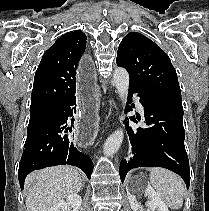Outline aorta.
<instances>
[{
    "label": "aorta",
    "mask_w": 209,
    "mask_h": 211,
    "mask_svg": "<svg viewBox=\"0 0 209 211\" xmlns=\"http://www.w3.org/2000/svg\"><path fill=\"white\" fill-rule=\"evenodd\" d=\"M114 84L118 92L119 97L125 101L127 99L129 90V74L126 69L118 67L115 69L113 74ZM124 132L122 129L116 130L106 140L103 152L106 156H112L115 154L123 141Z\"/></svg>",
    "instance_id": "762f6f07"
}]
</instances>
